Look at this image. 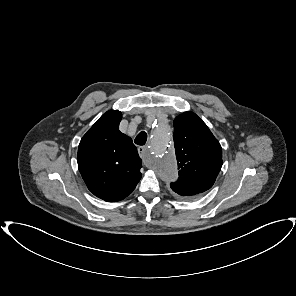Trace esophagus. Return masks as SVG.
<instances>
[{
    "label": "esophagus",
    "instance_id": "obj_1",
    "mask_svg": "<svg viewBox=\"0 0 296 296\" xmlns=\"http://www.w3.org/2000/svg\"><path fill=\"white\" fill-rule=\"evenodd\" d=\"M138 153H139L140 157H144L147 153V147L146 146H139Z\"/></svg>",
    "mask_w": 296,
    "mask_h": 296
}]
</instances>
